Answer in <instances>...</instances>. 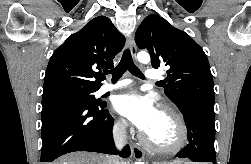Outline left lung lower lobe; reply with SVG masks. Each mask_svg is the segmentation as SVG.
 Masks as SVG:
<instances>
[{"mask_svg":"<svg viewBox=\"0 0 251 164\" xmlns=\"http://www.w3.org/2000/svg\"><path fill=\"white\" fill-rule=\"evenodd\" d=\"M187 126L188 143L178 158L216 164L214 107L192 104L180 110Z\"/></svg>","mask_w":251,"mask_h":164,"instance_id":"0a47b994","label":"left lung lower lobe"}]
</instances>
